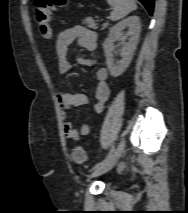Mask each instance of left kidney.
Instances as JSON below:
<instances>
[{
	"label": "left kidney",
	"instance_id": "5707ae66",
	"mask_svg": "<svg viewBox=\"0 0 188 213\" xmlns=\"http://www.w3.org/2000/svg\"><path fill=\"white\" fill-rule=\"evenodd\" d=\"M125 28H129V39L127 43H124L121 50L122 59L115 61L112 54L114 41L123 37ZM140 31L141 23L138 16H130L111 27L108 38L103 43V49L108 69L113 77L120 76L130 65L139 41Z\"/></svg>",
	"mask_w": 188,
	"mask_h": 213
}]
</instances>
